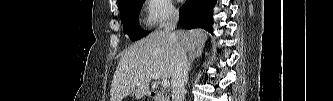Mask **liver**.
<instances>
[{"label":"liver","mask_w":333,"mask_h":101,"mask_svg":"<svg viewBox=\"0 0 333 101\" xmlns=\"http://www.w3.org/2000/svg\"><path fill=\"white\" fill-rule=\"evenodd\" d=\"M207 36L201 29L180 30L174 36L159 30L131 45L116 68L111 84V101H122L135 89L136 99L147 95L153 79L151 74H157L162 80L172 78L176 64V41L186 52H192L204 45Z\"/></svg>","instance_id":"liver-1"}]
</instances>
